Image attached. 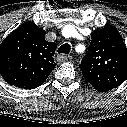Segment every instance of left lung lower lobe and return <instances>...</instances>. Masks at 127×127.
Returning a JSON list of instances; mask_svg holds the SVG:
<instances>
[{
	"mask_svg": "<svg viewBox=\"0 0 127 127\" xmlns=\"http://www.w3.org/2000/svg\"><path fill=\"white\" fill-rule=\"evenodd\" d=\"M94 88L96 90H98V91H103V92L110 90L109 88H105V87H97V86H94Z\"/></svg>",
	"mask_w": 127,
	"mask_h": 127,
	"instance_id": "0a47b994",
	"label": "left lung lower lobe"
}]
</instances>
